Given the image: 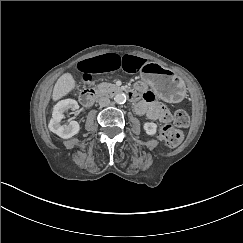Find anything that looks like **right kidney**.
<instances>
[{
    "label": "right kidney",
    "instance_id": "ca27d5eb",
    "mask_svg": "<svg viewBox=\"0 0 243 243\" xmlns=\"http://www.w3.org/2000/svg\"><path fill=\"white\" fill-rule=\"evenodd\" d=\"M68 109L77 110L79 105L74 99H65L59 101L52 111V118L48 124V128L59 137L68 139L77 134L80 130V126L77 121H70L68 124H61V120L64 118V112Z\"/></svg>",
    "mask_w": 243,
    "mask_h": 243
}]
</instances>
